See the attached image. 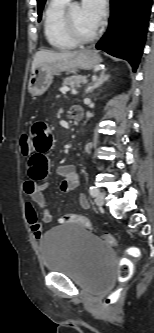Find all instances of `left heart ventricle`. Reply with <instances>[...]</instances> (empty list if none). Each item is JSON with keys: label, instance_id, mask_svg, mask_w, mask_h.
<instances>
[{"label": "left heart ventricle", "instance_id": "1", "mask_svg": "<svg viewBox=\"0 0 154 333\" xmlns=\"http://www.w3.org/2000/svg\"><path fill=\"white\" fill-rule=\"evenodd\" d=\"M70 10L74 25L80 34L88 36L96 31V28L85 19L79 4L71 5Z\"/></svg>", "mask_w": 154, "mask_h": 333}]
</instances>
